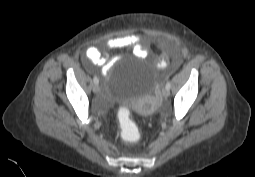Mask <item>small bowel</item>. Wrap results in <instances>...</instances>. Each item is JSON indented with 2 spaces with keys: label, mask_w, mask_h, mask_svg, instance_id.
I'll list each match as a JSON object with an SVG mask.
<instances>
[{
  "label": "small bowel",
  "mask_w": 255,
  "mask_h": 177,
  "mask_svg": "<svg viewBox=\"0 0 255 177\" xmlns=\"http://www.w3.org/2000/svg\"><path fill=\"white\" fill-rule=\"evenodd\" d=\"M106 46L109 50L131 49L138 56H145L148 53V48L142 43V37L134 33L113 37L107 40ZM162 51L169 50L168 48H163ZM117 59L116 56L102 54L100 50L94 46L89 47L85 52V60L99 66L102 75H106L110 71Z\"/></svg>",
  "instance_id": "c3829d8e"
}]
</instances>
